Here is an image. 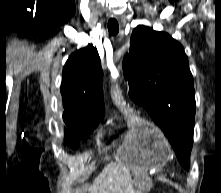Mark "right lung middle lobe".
<instances>
[{
  "instance_id": "1",
  "label": "right lung middle lobe",
  "mask_w": 221,
  "mask_h": 193,
  "mask_svg": "<svg viewBox=\"0 0 221 193\" xmlns=\"http://www.w3.org/2000/svg\"><path fill=\"white\" fill-rule=\"evenodd\" d=\"M103 116L97 118H89L86 120L73 122L66 124L69 133L65 130V141L70 147L76 148L79 145V141L76 138H82L88 136L99 124Z\"/></svg>"
}]
</instances>
